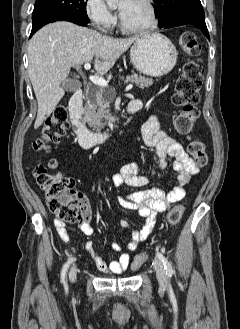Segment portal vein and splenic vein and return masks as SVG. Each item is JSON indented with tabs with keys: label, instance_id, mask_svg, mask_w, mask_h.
<instances>
[{
	"label": "portal vein and splenic vein",
	"instance_id": "portal-vein-and-splenic-vein-1",
	"mask_svg": "<svg viewBox=\"0 0 240 329\" xmlns=\"http://www.w3.org/2000/svg\"><path fill=\"white\" fill-rule=\"evenodd\" d=\"M84 68H85L86 70H88V69L91 68V65H90L89 63H85ZM89 79H90V81H91L93 84H95V85H97V86H99V87H107V86H108V82H107L105 79H103L102 77H99V76H90ZM132 88H133V85L130 84V85H128V86L126 87V91H129V90H131Z\"/></svg>",
	"mask_w": 240,
	"mask_h": 329
}]
</instances>
